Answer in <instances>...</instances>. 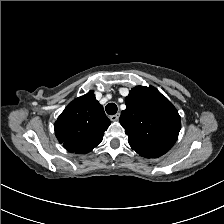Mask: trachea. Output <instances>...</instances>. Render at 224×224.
Here are the masks:
<instances>
[{"mask_svg": "<svg viewBox=\"0 0 224 224\" xmlns=\"http://www.w3.org/2000/svg\"><path fill=\"white\" fill-rule=\"evenodd\" d=\"M105 110L109 115H114L117 112V105L115 103H109L106 105Z\"/></svg>", "mask_w": 224, "mask_h": 224, "instance_id": "obj_1", "label": "trachea"}]
</instances>
